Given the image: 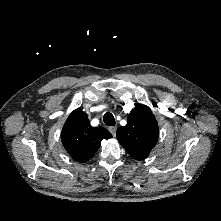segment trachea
<instances>
[{
  "label": "trachea",
  "mask_w": 221,
  "mask_h": 221,
  "mask_svg": "<svg viewBox=\"0 0 221 221\" xmlns=\"http://www.w3.org/2000/svg\"><path fill=\"white\" fill-rule=\"evenodd\" d=\"M103 121L107 126H114L115 125V118L110 112H107L104 114Z\"/></svg>",
  "instance_id": "1"
}]
</instances>
